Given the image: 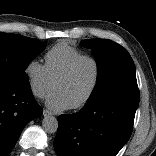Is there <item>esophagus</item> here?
<instances>
[{"instance_id": "esophagus-1", "label": "esophagus", "mask_w": 156, "mask_h": 156, "mask_svg": "<svg viewBox=\"0 0 156 156\" xmlns=\"http://www.w3.org/2000/svg\"><path fill=\"white\" fill-rule=\"evenodd\" d=\"M49 115H52V113L49 110L44 109L43 116H49Z\"/></svg>"}]
</instances>
